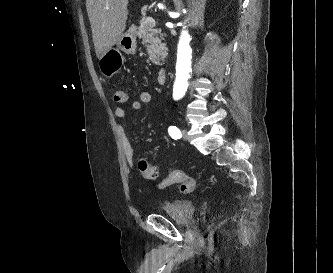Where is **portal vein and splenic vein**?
I'll return each mask as SVG.
<instances>
[{"mask_svg":"<svg viewBox=\"0 0 333 273\" xmlns=\"http://www.w3.org/2000/svg\"><path fill=\"white\" fill-rule=\"evenodd\" d=\"M145 21L151 26H155V20L152 17H147Z\"/></svg>","mask_w":333,"mask_h":273,"instance_id":"18ae733b","label":"portal vein and splenic vein"}]
</instances>
